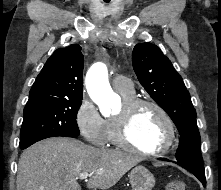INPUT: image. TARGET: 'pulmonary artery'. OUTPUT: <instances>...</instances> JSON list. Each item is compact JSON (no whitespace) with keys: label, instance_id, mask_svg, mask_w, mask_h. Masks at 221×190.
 I'll return each instance as SVG.
<instances>
[{"label":"pulmonary artery","instance_id":"e3ab8cb5","mask_svg":"<svg viewBox=\"0 0 221 190\" xmlns=\"http://www.w3.org/2000/svg\"><path fill=\"white\" fill-rule=\"evenodd\" d=\"M112 86L117 92L121 93H129L134 90L133 83L130 78L122 75L113 77Z\"/></svg>","mask_w":221,"mask_h":190}]
</instances>
